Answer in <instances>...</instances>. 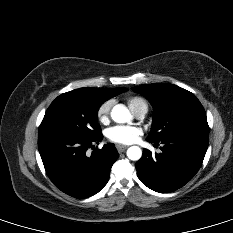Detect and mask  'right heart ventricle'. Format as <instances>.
Returning a JSON list of instances; mask_svg holds the SVG:
<instances>
[{
	"mask_svg": "<svg viewBox=\"0 0 233 233\" xmlns=\"http://www.w3.org/2000/svg\"><path fill=\"white\" fill-rule=\"evenodd\" d=\"M128 104L132 112L140 106H147L145 100L140 97H131L128 99Z\"/></svg>",
	"mask_w": 233,
	"mask_h": 233,
	"instance_id": "e07e8e85",
	"label": "right heart ventricle"
}]
</instances>
